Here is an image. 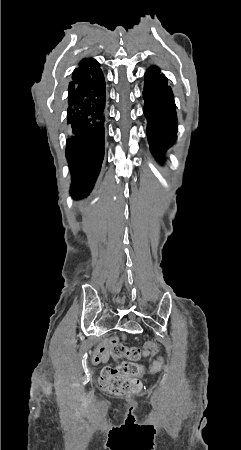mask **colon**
<instances>
[{"label": "colon", "instance_id": "colon-1", "mask_svg": "<svg viewBox=\"0 0 241 450\" xmlns=\"http://www.w3.org/2000/svg\"><path fill=\"white\" fill-rule=\"evenodd\" d=\"M144 350L136 347H125L123 345H116L109 349V353L112 357L117 359L128 358L131 360H138L146 355V362L142 364L144 369L152 368L154 370L160 367L158 362H153V356L162 358L165 356V351L160 350V347L155 344L154 341H146L143 344ZM140 365L131 364L129 361H124L122 366H117L116 369L105 368L100 374L98 380V386L108 393L113 395H123L131 392L139 391L142 388V383L136 381L132 375L134 372L137 374H143L145 371Z\"/></svg>", "mask_w": 241, "mask_h": 450}]
</instances>
